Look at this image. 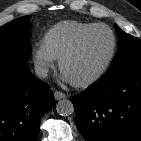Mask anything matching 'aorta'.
I'll list each match as a JSON object with an SVG mask.
<instances>
[{
    "mask_svg": "<svg viewBox=\"0 0 141 141\" xmlns=\"http://www.w3.org/2000/svg\"><path fill=\"white\" fill-rule=\"evenodd\" d=\"M56 111L61 116H69L74 112L73 103L67 99L60 100L56 104Z\"/></svg>",
    "mask_w": 141,
    "mask_h": 141,
    "instance_id": "762f6f07",
    "label": "aorta"
}]
</instances>
